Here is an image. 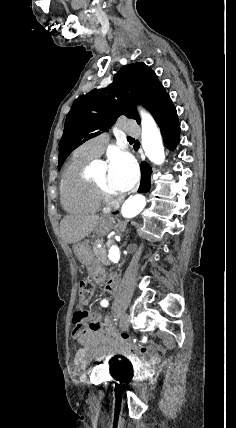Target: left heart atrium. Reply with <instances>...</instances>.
Wrapping results in <instances>:
<instances>
[{
    "mask_svg": "<svg viewBox=\"0 0 236 428\" xmlns=\"http://www.w3.org/2000/svg\"><path fill=\"white\" fill-rule=\"evenodd\" d=\"M109 179L119 193L130 191L138 180V167L133 157L125 151L112 153L108 160Z\"/></svg>",
    "mask_w": 236,
    "mask_h": 428,
    "instance_id": "39dd6f15",
    "label": "left heart atrium"
}]
</instances>
